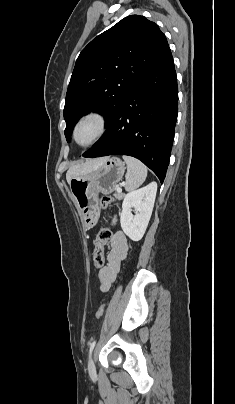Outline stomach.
<instances>
[{"label": "stomach", "mask_w": 235, "mask_h": 404, "mask_svg": "<svg viewBox=\"0 0 235 404\" xmlns=\"http://www.w3.org/2000/svg\"><path fill=\"white\" fill-rule=\"evenodd\" d=\"M125 166L118 157H108L101 166L70 181L71 194L86 229L99 219V193L111 194L122 179Z\"/></svg>", "instance_id": "0dacf381"}]
</instances>
